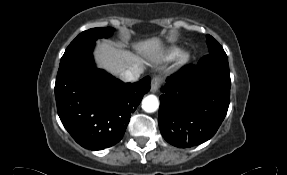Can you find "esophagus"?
Wrapping results in <instances>:
<instances>
[{
    "label": "esophagus",
    "instance_id": "obj_1",
    "mask_svg": "<svg viewBox=\"0 0 287 175\" xmlns=\"http://www.w3.org/2000/svg\"><path fill=\"white\" fill-rule=\"evenodd\" d=\"M161 83H162V78L161 77H159V76L154 77L152 79V81H151V89H150V91L152 93L157 92V90L159 89Z\"/></svg>",
    "mask_w": 287,
    "mask_h": 175
}]
</instances>
